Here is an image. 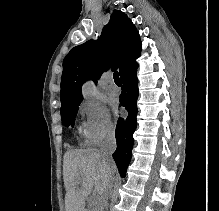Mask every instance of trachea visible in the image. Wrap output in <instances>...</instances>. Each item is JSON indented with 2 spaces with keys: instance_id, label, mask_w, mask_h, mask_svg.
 <instances>
[{
  "instance_id": "3493384b",
  "label": "trachea",
  "mask_w": 219,
  "mask_h": 211,
  "mask_svg": "<svg viewBox=\"0 0 219 211\" xmlns=\"http://www.w3.org/2000/svg\"><path fill=\"white\" fill-rule=\"evenodd\" d=\"M113 78H114L116 85H122L121 80L119 78L118 71H114Z\"/></svg>"
}]
</instances>
